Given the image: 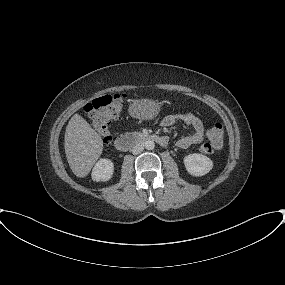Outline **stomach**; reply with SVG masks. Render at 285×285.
<instances>
[{"label": "stomach", "instance_id": "obj_1", "mask_svg": "<svg viewBox=\"0 0 285 285\" xmlns=\"http://www.w3.org/2000/svg\"><path fill=\"white\" fill-rule=\"evenodd\" d=\"M129 111L135 118L151 119L160 111V104L152 99L137 100L130 106Z\"/></svg>", "mask_w": 285, "mask_h": 285}]
</instances>
